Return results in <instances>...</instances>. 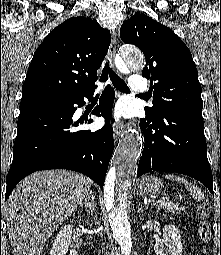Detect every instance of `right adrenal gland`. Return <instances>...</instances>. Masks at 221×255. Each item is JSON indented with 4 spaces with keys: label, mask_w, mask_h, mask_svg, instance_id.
<instances>
[{
    "label": "right adrenal gland",
    "mask_w": 221,
    "mask_h": 255,
    "mask_svg": "<svg viewBox=\"0 0 221 255\" xmlns=\"http://www.w3.org/2000/svg\"><path fill=\"white\" fill-rule=\"evenodd\" d=\"M94 196H93V192L90 191L88 194V197L85 198V201L82 203H80L81 207H85V211L87 214H90V212L92 213L95 210V202H94Z\"/></svg>",
    "instance_id": "right-adrenal-gland-1"
}]
</instances>
